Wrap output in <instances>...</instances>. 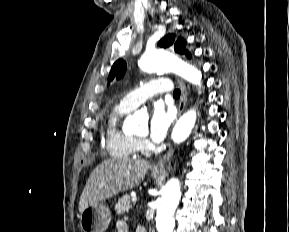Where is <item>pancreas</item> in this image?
Segmentation results:
<instances>
[{
  "label": "pancreas",
  "instance_id": "1",
  "mask_svg": "<svg viewBox=\"0 0 289 232\" xmlns=\"http://www.w3.org/2000/svg\"><path fill=\"white\" fill-rule=\"evenodd\" d=\"M130 208H132V205L130 203L129 195H124L115 205V210L118 215H123L124 213L128 212Z\"/></svg>",
  "mask_w": 289,
  "mask_h": 232
}]
</instances>
